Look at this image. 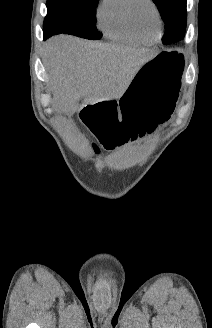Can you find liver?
I'll return each mask as SVG.
<instances>
[{"mask_svg": "<svg viewBox=\"0 0 212 328\" xmlns=\"http://www.w3.org/2000/svg\"><path fill=\"white\" fill-rule=\"evenodd\" d=\"M152 57L148 49L54 37L45 60L53 80V106L73 114L80 98L85 103L119 99L139 67Z\"/></svg>", "mask_w": 212, "mask_h": 328, "instance_id": "1", "label": "liver"}]
</instances>
